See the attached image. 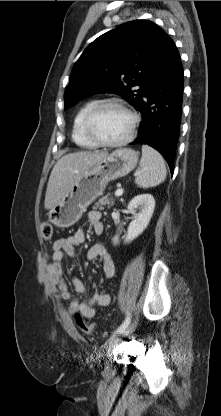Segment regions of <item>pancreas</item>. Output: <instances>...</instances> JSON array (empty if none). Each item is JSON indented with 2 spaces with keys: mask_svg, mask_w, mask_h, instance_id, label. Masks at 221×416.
<instances>
[{
  "mask_svg": "<svg viewBox=\"0 0 221 416\" xmlns=\"http://www.w3.org/2000/svg\"><path fill=\"white\" fill-rule=\"evenodd\" d=\"M109 196H110V194H107V195L101 197L95 203V206L93 208L94 209L99 208L100 210H103L104 206H107L108 208H110L112 205H114V201H113V198H110Z\"/></svg>",
  "mask_w": 221,
  "mask_h": 416,
  "instance_id": "obj_1",
  "label": "pancreas"
}]
</instances>
